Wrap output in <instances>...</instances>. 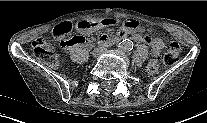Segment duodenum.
I'll return each instance as SVG.
<instances>
[{
	"mask_svg": "<svg viewBox=\"0 0 207 123\" xmlns=\"http://www.w3.org/2000/svg\"><path fill=\"white\" fill-rule=\"evenodd\" d=\"M122 38H123V37H121V36H116V37L110 38V39H108V40H106V41H102V40H101V42H102V43H105V44H113V43H117V42H119ZM90 45H91V42H89V43L87 44V46H90Z\"/></svg>",
	"mask_w": 207,
	"mask_h": 123,
	"instance_id": "duodenum-1",
	"label": "duodenum"
}]
</instances>
